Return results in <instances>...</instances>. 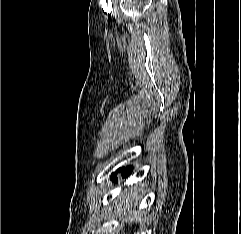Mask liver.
I'll return each instance as SVG.
<instances>
[{
  "instance_id": "6515ba94",
  "label": "liver",
  "mask_w": 241,
  "mask_h": 234,
  "mask_svg": "<svg viewBox=\"0 0 241 234\" xmlns=\"http://www.w3.org/2000/svg\"><path fill=\"white\" fill-rule=\"evenodd\" d=\"M120 196L124 201V203L121 205V212H124L125 218L129 221L132 216L130 209L132 208V201H135V195L133 194L132 188H127L121 193Z\"/></svg>"
}]
</instances>
